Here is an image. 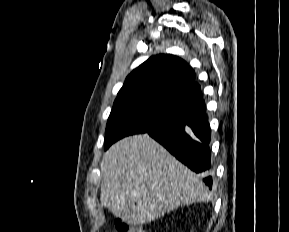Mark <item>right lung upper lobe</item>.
I'll return each mask as SVG.
<instances>
[{"label":"right lung upper lobe","instance_id":"obj_1","mask_svg":"<svg viewBox=\"0 0 289 232\" xmlns=\"http://www.w3.org/2000/svg\"><path fill=\"white\" fill-rule=\"evenodd\" d=\"M145 99L182 112L204 106L194 70L173 55H156L133 70L117 99Z\"/></svg>","mask_w":289,"mask_h":232}]
</instances>
